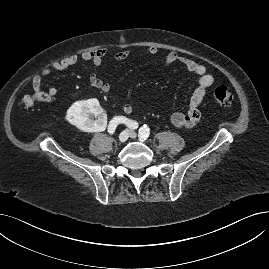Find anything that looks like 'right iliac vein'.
I'll list each match as a JSON object with an SVG mask.
<instances>
[{
    "label": "right iliac vein",
    "mask_w": 269,
    "mask_h": 269,
    "mask_svg": "<svg viewBox=\"0 0 269 269\" xmlns=\"http://www.w3.org/2000/svg\"><path fill=\"white\" fill-rule=\"evenodd\" d=\"M128 136H129V131L128 130L122 131L120 133V135H119V141L121 143H124L128 139Z\"/></svg>",
    "instance_id": "63e3f726"
}]
</instances>
